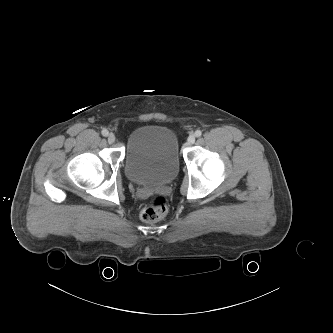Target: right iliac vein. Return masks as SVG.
I'll return each instance as SVG.
<instances>
[{"instance_id": "obj_1", "label": "right iliac vein", "mask_w": 333, "mask_h": 333, "mask_svg": "<svg viewBox=\"0 0 333 333\" xmlns=\"http://www.w3.org/2000/svg\"><path fill=\"white\" fill-rule=\"evenodd\" d=\"M107 140H108V142H109L110 144H112V143H114V142H115V140H116V137H115V135H114V134L110 133V134L108 135V138H107Z\"/></svg>"}]
</instances>
